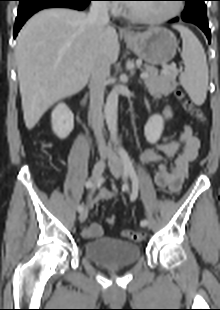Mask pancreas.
<instances>
[{"label": "pancreas", "mask_w": 220, "mask_h": 310, "mask_svg": "<svg viewBox=\"0 0 220 310\" xmlns=\"http://www.w3.org/2000/svg\"><path fill=\"white\" fill-rule=\"evenodd\" d=\"M145 72L149 74V77L144 80V83L153 97L161 98L162 96H168L176 89V71L171 70L159 74L155 67L146 65Z\"/></svg>", "instance_id": "pancreas-1"}]
</instances>
